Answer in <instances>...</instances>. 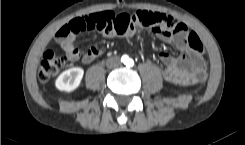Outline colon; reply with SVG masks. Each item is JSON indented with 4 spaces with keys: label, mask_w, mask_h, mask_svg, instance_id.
Here are the masks:
<instances>
[{
    "label": "colon",
    "mask_w": 245,
    "mask_h": 145,
    "mask_svg": "<svg viewBox=\"0 0 245 145\" xmlns=\"http://www.w3.org/2000/svg\"><path fill=\"white\" fill-rule=\"evenodd\" d=\"M138 26L143 27H166L174 34H187L189 46L196 50L202 51L203 44L198 36L191 32L189 33L186 26L179 20L161 16L158 13L140 12L138 17L122 13L114 20H108L104 15L88 16L86 26L80 24L79 19L75 18L64 24L58 31V38L64 39L71 35H80L86 30L96 28L99 31L113 30L118 34H124ZM63 58L59 55L58 49H47L40 61L38 75L43 81H47L55 76L63 65Z\"/></svg>",
    "instance_id": "1"
}]
</instances>
